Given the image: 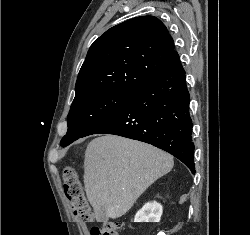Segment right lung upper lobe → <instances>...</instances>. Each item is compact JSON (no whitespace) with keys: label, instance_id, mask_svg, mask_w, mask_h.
Here are the masks:
<instances>
[{"label":"right lung upper lobe","instance_id":"right-lung-upper-lobe-1","mask_svg":"<svg viewBox=\"0 0 250 235\" xmlns=\"http://www.w3.org/2000/svg\"><path fill=\"white\" fill-rule=\"evenodd\" d=\"M175 53L174 41L158 18L140 16L120 23L91 45L74 100L98 91L134 93L160 74Z\"/></svg>","mask_w":250,"mask_h":235}]
</instances>
